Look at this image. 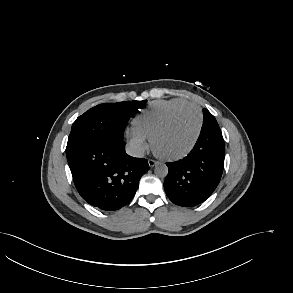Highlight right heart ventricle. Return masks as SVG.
<instances>
[{"mask_svg":"<svg viewBox=\"0 0 293 293\" xmlns=\"http://www.w3.org/2000/svg\"><path fill=\"white\" fill-rule=\"evenodd\" d=\"M188 103L191 102L182 98L152 102L145 110L133 119V131L146 139H151L155 130L173 110Z\"/></svg>","mask_w":293,"mask_h":293,"instance_id":"e07e8e85","label":"right heart ventricle"}]
</instances>
